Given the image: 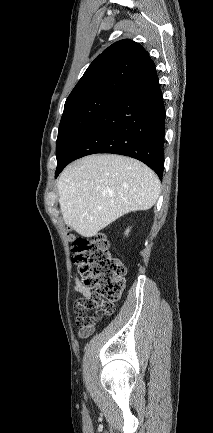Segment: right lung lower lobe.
I'll return each instance as SVG.
<instances>
[{"label": "right lung lower lobe", "mask_w": 213, "mask_h": 433, "mask_svg": "<svg viewBox=\"0 0 213 433\" xmlns=\"http://www.w3.org/2000/svg\"><path fill=\"white\" fill-rule=\"evenodd\" d=\"M165 106L155 67L91 121L57 159L55 177L71 161L95 153L138 159L162 179Z\"/></svg>", "instance_id": "1"}]
</instances>
